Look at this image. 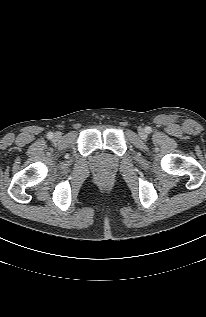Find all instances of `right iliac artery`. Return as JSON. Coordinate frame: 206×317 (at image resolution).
Instances as JSON below:
<instances>
[{"label":"right iliac artery","mask_w":206,"mask_h":317,"mask_svg":"<svg viewBox=\"0 0 206 317\" xmlns=\"http://www.w3.org/2000/svg\"><path fill=\"white\" fill-rule=\"evenodd\" d=\"M47 137H48L49 139H51V138L53 137V133H52V132H49V133L47 134Z\"/></svg>","instance_id":"1"}]
</instances>
